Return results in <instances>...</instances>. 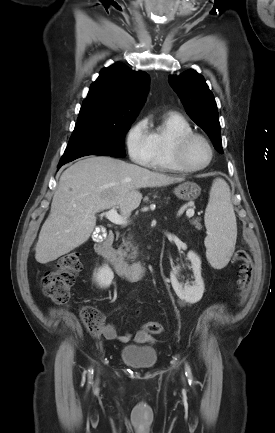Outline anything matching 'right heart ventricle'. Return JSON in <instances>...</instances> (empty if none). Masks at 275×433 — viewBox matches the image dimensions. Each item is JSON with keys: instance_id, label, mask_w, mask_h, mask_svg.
<instances>
[{"instance_id": "obj_1", "label": "right heart ventricle", "mask_w": 275, "mask_h": 433, "mask_svg": "<svg viewBox=\"0 0 275 433\" xmlns=\"http://www.w3.org/2000/svg\"><path fill=\"white\" fill-rule=\"evenodd\" d=\"M193 132L189 121L176 112H169L150 129L151 158L148 166L162 171H182L173 160V146L177 138Z\"/></svg>"}]
</instances>
